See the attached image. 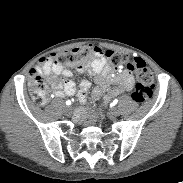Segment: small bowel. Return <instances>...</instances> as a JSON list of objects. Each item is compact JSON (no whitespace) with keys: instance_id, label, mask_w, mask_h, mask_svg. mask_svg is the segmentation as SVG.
<instances>
[{"instance_id":"small-bowel-1","label":"small bowel","mask_w":183,"mask_h":183,"mask_svg":"<svg viewBox=\"0 0 183 183\" xmlns=\"http://www.w3.org/2000/svg\"><path fill=\"white\" fill-rule=\"evenodd\" d=\"M92 48L94 51V59L89 66L78 67L76 72H85L95 75V80L98 86L94 90V96L99 97L103 91H105L106 94L107 90L111 88L113 84H120L124 87V91H131L135 83L131 70H125L119 74L113 73L106 61V58L104 57L103 51L97 46H93ZM43 72L50 76V85L54 88L57 96H71L76 93V86L72 80H68L62 84L57 79L59 75H64L66 77L72 76L73 72L70 69L63 68L58 64L49 61L43 67ZM90 87L91 83L89 80L84 79L81 81L77 92V97L80 103H84L86 101L87 92Z\"/></svg>"}]
</instances>
